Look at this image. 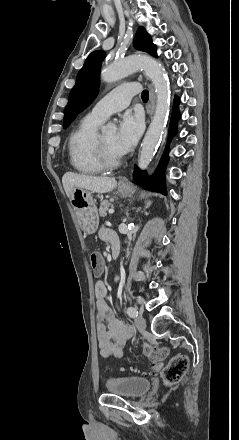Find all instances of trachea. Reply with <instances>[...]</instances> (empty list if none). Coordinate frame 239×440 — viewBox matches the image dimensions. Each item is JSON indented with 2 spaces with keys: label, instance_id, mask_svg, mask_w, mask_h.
Segmentation results:
<instances>
[{
  "label": "trachea",
  "instance_id": "obj_1",
  "mask_svg": "<svg viewBox=\"0 0 239 440\" xmlns=\"http://www.w3.org/2000/svg\"><path fill=\"white\" fill-rule=\"evenodd\" d=\"M148 97H149L148 90H143V92L141 94V98L143 99V101H148Z\"/></svg>",
  "mask_w": 239,
  "mask_h": 440
}]
</instances>
